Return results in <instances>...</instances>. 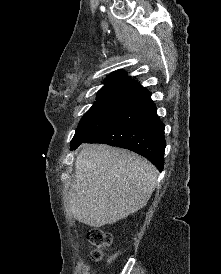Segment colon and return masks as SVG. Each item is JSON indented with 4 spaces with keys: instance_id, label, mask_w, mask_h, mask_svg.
Listing matches in <instances>:
<instances>
[{
    "instance_id": "5ec220e1",
    "label": "colon",
    "mask_w": 221,
    "mask_h": 274,
    "mask_svg": "<svg viewBox=\"0 0 221 274\" xmlns=\"http://www.w3.org/2000/svg\"><path fill=\"white\" fill-rule=\"evenodd\" d=\"M87 238L94 246V249L91 253L92 259L95 261L101 260L104 255V249L110 246L112 242L111 235L101 229L94 228L88 232Z\"/></svg>"
}]
</instances>
